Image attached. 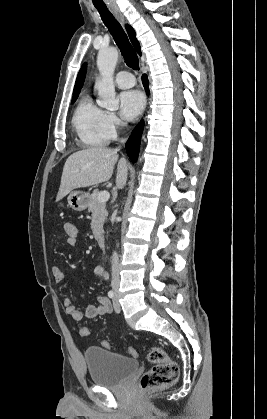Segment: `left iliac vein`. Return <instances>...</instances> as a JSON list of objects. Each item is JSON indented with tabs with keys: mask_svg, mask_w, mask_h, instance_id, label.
Instances as JSON below:
<instances>
[{
	"mask_svg": "<svg viewBox=\"0 0 267 419\" xmlns=\"http://www.w3.org/2000/svg\"><path fill=\"white\" fill-rule=\"evenodd\" d=\"M113 305H114V310L115 312L119 313L121 311V307L120 304L118 302V294H115V297L113 299Z\"/></svg>",
	"mask_w": 267,
	"mask_h": 419,
	"instance_id": "4c4485c4",
	"label": "left iliac vein"
}]
</instances>
